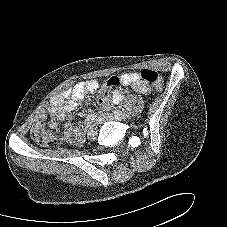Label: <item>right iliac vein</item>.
<instances>
[{
	"label": "right iliac vein",
	"instance_id": "63e3f726",
	"mask_svg": "<svg viewBox=\"0 0 227 227\" xmlns=\"http://www.w3.org/2000/svg\"><path fill=\"white\" fill-rule=\"evenodd\" d=\"M87 130H88L87 131V137H88V139L91 140V141L94 140V139H96L97 130L94 127V125H92L91 127H89Z\"/></svg>",
	"mask_w": 227,
	"mask_h": 227
}]
</instances>
